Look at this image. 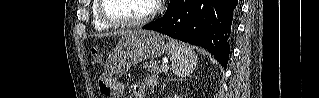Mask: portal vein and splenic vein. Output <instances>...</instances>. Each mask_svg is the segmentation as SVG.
<instances>
[{"mask_svg": "<svg viewBox=\"0 0 319 98\" xmlns=\"http://www.w3.org/2000/svg\"><path fill=\"white\" fill-rule=\"evenodd\" d=\"M161 68H162V70H163L164 72H167V71L169 70V67H168V65H167L166 63H163L162 66H161Z\"/></svg>", "mask_w": 319, "mask_h": 98, "instance_id": "18ae733b", "label": "portal vein and splenic vein"}]
</instances>
